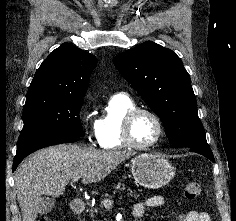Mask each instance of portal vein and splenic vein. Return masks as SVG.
Segmentation results:
<instances>
[{
	"instance_id": "18ae733b",
	"label": "portal vein and splenic vein",
	"mask_w": 236,
	"mask_h": 221,
	"mask_svg": "<svg viewBox=\"0 0 236 221\" xmlns=\"http://www.w3.org/2000/svg\"><path fill=\"white\" fill-rule=\"evenodd\" d=\"M78 179H79V177L73 178V182H77ZM102 203H103V205H104L105 207H110V206H112V204L114 203V200H112V199H104V200L102 201Z\"/></svg>"
}]
</instances>
